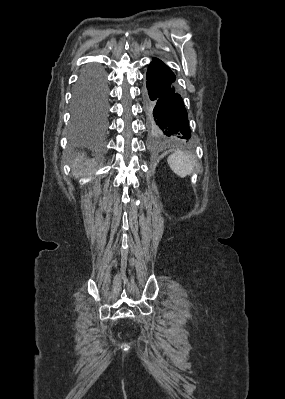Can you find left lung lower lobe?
<instances>
[{
    "mask_svg": "<svg viewBox=\"0 0 285 399\" xmlns=\"http://www.w3.org/2000/svg\"><path fill=\"white\" fill-rule=\"evenodd\" d=\"M146 113L155 140H189L191 130L184 102L177 93L175 75L160 59L153 58L146 75Z\"/></svg>",
    "mask_w": 285,
    "mask_h": 399,
    "instance_id": "obj_1",
    "label": "left lung lower lobe"
}]
</instances>
